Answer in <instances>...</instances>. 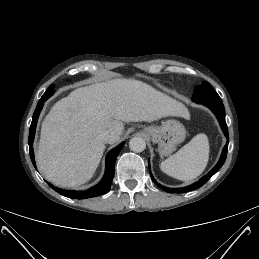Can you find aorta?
Instances as JSON below:
<instances>
[{
    "mask_svg": "<svg viewBox=\"0 0 259 259\" xmlns=\"http://www.w3.org/2000/svg\"><path fill=\"white\" fill-rule=\"evenodd\" d=\"M129 148L136 153L143 152L146 148V142L142 137H133L129 141Z\"/></svg>",
    "mask_w": 259,
    "mask_h": 259,
    "instance_id": "obj_1",
    "label": "aorta"
}]
</instances>
